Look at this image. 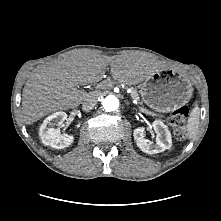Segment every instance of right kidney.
I'll list each match as a JSON object with an SVG mask.
<instances>
[{
	"instance_id": "obj_1",
	"label": "right kidney",
	"mask_w": 221,
	"mask_h": 221,
	"mask_svg": "<svg viewBox=\"0 0 221 221\" xmlns=\"http://www.w3.org/2000/svg\"><path fill=\"white\" fill-rule=\"evenodd\" d=\"M65 120H67V114L63 111L55 112L45 118L40 126L39 135L47 145L55 149H63L73 143V135H62L58 128H54L56 124H61Z\"/></svg>"
}]
</instances>
